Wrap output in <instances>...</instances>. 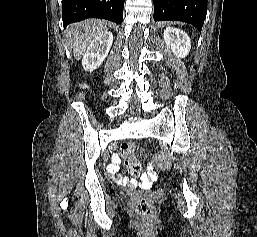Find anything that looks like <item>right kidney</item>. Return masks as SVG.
Segmentation results:
<instances>
[{
    "instance_id": "right-kidney-1",
    "label": "right kidney",
    "mask_w": 257,
    "mask_h": 237,
    "mask_svg": "<svg viewBox=\"0 0 257 237\" xmlns=\"http://www.w3.org/2000/svg\"><path fill=\"white\" fill-rule=\"evenodd\" d=\"M113 43V35L111 32H105L95 38L87 47L83 55L82 66L86 71L97 69L106 56Z\"/></svg>"
}]
</instances>
